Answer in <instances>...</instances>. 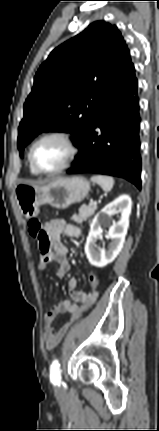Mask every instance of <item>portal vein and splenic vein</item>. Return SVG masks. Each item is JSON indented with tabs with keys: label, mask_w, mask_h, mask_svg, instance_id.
Here are the masks:
<instances>
[{
	"label": "portal vein and splenic vein",
	"mask_w": 159,
	"mask_h": 431,
	"mask_svg": "<svg viewBox=\"0 0 159 431\" xmlns=\"http://www.w3.org/2000/svg\"><path fill=\"white\" fill-rule=\"evenodd\" d=\"M90 205H91V206H96V205H97V202H95V201H91Z\"/></svg>",
	"instance_id": "portal-vein-and-splenic-vein-1"
}]
</instances>
